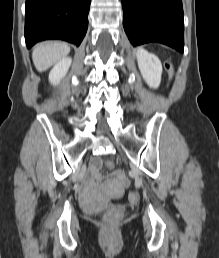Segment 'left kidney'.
<instances>
[{
	"label": "left kidney",
	"instance_id": "1",
	"mask_svg": "<svg viewBox=\"0 0 219 258\" xmlns=\"http://www.w3.org/2000/svg\"><path fill=\"white\" fill-rule=\"evenodd\" d=\"M136 57L144 80L150 87L158 88L162 75V65L158 57L142 48L137 49Z\"/></svg>",
	"mask_w": 219,
	"mask_h": 258
}]
</instances>
